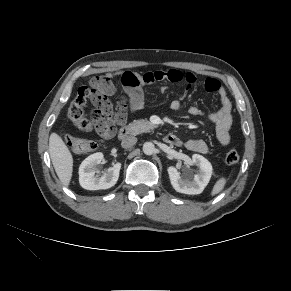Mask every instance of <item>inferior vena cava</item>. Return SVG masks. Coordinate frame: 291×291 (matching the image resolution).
<instances>
[{
  "label": "inferior vena cava",
  "mask_w": 291,
  "mask_h": 291,
  "mask_svg": "<svg viewBox=\"0 0 291 291\" xmlns=\"http://www.w3.org/2000/svg\"><path fill=\"white\" fill-rule=\"evenodd\" d=\"M137 142V138L134 136H128L126 138H124L121 142V146L123 148H130L132 146H134Z\"/></svg>",
  "instance_id": "obj_1"
}]
</instances>
